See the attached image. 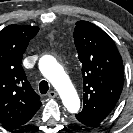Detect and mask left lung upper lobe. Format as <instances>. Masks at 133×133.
I'll return each instance as SVG.
<instances>
[{
	"label": "left lung upper lobe",
	"instance_id": "left-lung-upper-lobe-1",
	"mask_svg": "<svg viewBox=\"0 0 133 133\" xmlns=\"http://www.w3.org/2000/svg\"><path fill=\"white\" fill-rule=\"evenodd\" d=\"M74 41L82 63L83 110L105 119L114 109L124 83L121 55L102 29L87 21L76 22Z\"/></svg>",
	"mask_w": 133,
	"mask_h": 133
}]
</instances>
